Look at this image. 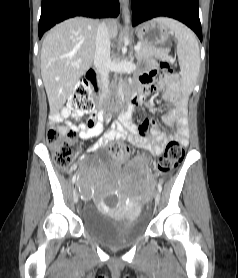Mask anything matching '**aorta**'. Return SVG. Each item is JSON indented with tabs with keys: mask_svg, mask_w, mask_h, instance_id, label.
I'll return each instance as SVG.
<instances>
[{
	"mask_svg": "<svg viewBox=\"0 0 238 278\" xmlns=\"http://www.w3.org/2000/svg\"><path fill=\"white\" fill-rule=\"evenodd\" d=\"M118 94H119L120 98L123 96L121 83H120V87H119V90H118Z\"/></svg>",
	"mask_w": 238,
	"mask_h": 278,
	"instance_id": "1",
	"label": "aorta"
}]
</instances>
